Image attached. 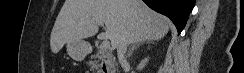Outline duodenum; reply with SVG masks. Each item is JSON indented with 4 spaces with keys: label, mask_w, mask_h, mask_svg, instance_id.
I'll list each match as a JSON object with an SVG mask.
<instances>
[{
    "label": "duodenum",
    "mask_w": 244,
    "mask_h": 73,
    "mask_svg": "<svg viewBox=\"0 0 244 73\" xmlns=\"http://www.w3.org/2000/svg\"><path fill=\"white\" fill-rule=\"evenodd\" d=\"M106 73H112L110 70H109V66L108 65H106L105 66V70H104Z\"/></svg>",
    "instance_id": "duodenum-1"
}]
</instances>
